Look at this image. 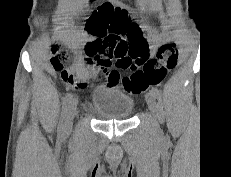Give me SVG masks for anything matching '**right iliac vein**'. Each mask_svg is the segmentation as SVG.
Wrapping results in <instances>:
<instances>
[{"label":"right iliac vein","instance_id":"obj_1","mask_svg":"<svg viewBox=\"0 0 231 177\" xmlns=\"http://www.w3.org/2000/svg\"><path fill=\"white\" fill-rule=\"evenodd\" d=\"M78 99L74 98L70 105L68 106L67 114H66V122H65V131L69 132L72 129L73 120L77 111Z\"/></svg>","mask_w":231,"mask_h":177}]
</instances>
